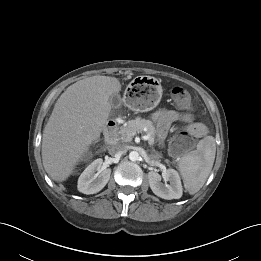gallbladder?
I'll use <instances>...</instances> for the list:
<instances>
[{
	"label": "gallbladder",
	"mask_w": 261,
	"mask_h": 261,
	"mask_svg": "<svg viewBox=\"0 0 261 261\" xmlns=\"http://www.w3.org/2000/svg\"><path fill=\"white\" fill-rule=\"evenodd\" d=\"M121 101V97L118 94H113L109 100L113 108H118L121 105Z\"/></svg>",
	"instance_id": "1"
}]
</instances>
